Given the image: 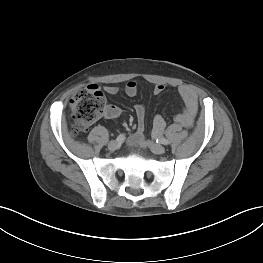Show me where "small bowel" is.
Returning <instances> with one entry per match:
<instances>
[{
    "label": "small bowel",
    "mask_w": 263,
    "mask_h": 263,
    "mask_svg": "<svg viewBox=\"0 0 263 263\" xmlns=\"http://www.w3.org/2000/svg\"><path fill=\"white\" fill-rule=\"evenodd\" d=\"M98 87V86H97ZM165 89L163 84H156L153 87V93L155 95L161 94ZM104 91L109 95L117 94L120 89L116 86H105ZM125 93L134 97L138 93V84L136 81H129L124 87ZM178 92L184 102V111L176 116V121L183 126H191L198 110L197 95L187 85H180ZM136 118H137V130L129 137V143L131 145H143L144 143V127H145V107L141 104H137L134 107ZM121 110L115 105H108L106 107L104 117L108 119L116 118L120 115ZM165 128V121L160 115H156L153 120V135H159Z\"/></svg>",
    "instance_id": "obj_1"
}]
</instances>
